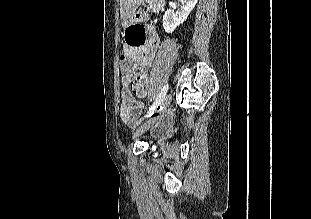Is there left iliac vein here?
<instances>
[{"label":"left iliac vein","mask_w":311,"mask_h":219,"mask_svg":"<svg viewBox=\"0 0 311 219\" xmlns=\"http://www.w3.org/2000/svg\"><path fill=\"white\" fill-rule=\"evenodd\" d=\"M172 100V95L167 94L164 100L161 103V107L158 111V113H163L170 105ZM159 116H152L149 118L143 125H141L134 133V138H137L141 134H143L145 131H147L151 126L155 124V122L158 120Z\"/></svg>","instance_id":"obj_1"}]
</instances>
